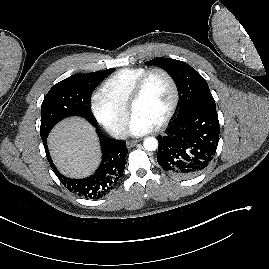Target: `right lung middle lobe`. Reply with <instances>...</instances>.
Segmentation results:
<instances>
[{
	"label": "right lung middle lobe",
	"mask_w": 269,
	"mask_h": 269,
	"mask_svg": "<svg viewBox=\"0 0 269 269\" xmlns=\"http://www.w3.org/2000/svg\"><path fill=\"white\" fill-rule=\"evenodd\" d=\"M114 68L88 74H76L55 84L45 96L41 106L40 135L47 139L51 129L69 116L85 117L96 125L90 112V95L96 85Z\"/></svg>",
	"instance_id": "right-lung-middle-lobe-1"
}]
</instances>
